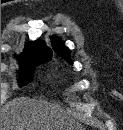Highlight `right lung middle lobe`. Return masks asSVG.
<instances>
[{"label": "right lung middle lobe", "instance_id": "right-lung-middle-lobe-1", "mask_svg": "<svg viewBox=\"0 0 123 130\" xmlns=\"http://www.w3.org/2000/svg\"><path fill=\"white\" fill-rule=\"evenodd\" d=\"M50 57L51 55L20 57L19 86L28 84L29 79L34 72V68L47 61Z\"/></svg>", "mask_w": 123, "mask_h": 130}]
</instances>
